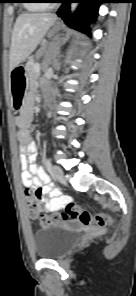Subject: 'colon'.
I'll return each instance as SVG.
<instances>
[{
  "mask_svg": "<svg viewBox=\"0 0 136 296\" xmlns=\"http://www.w3.org/2000/svg\"><path fill=\"white\" fill-rule=\"evenodd\" d=\"M26 206L31 216L43 226L55 225L69 218L77 220L83 225H95L100 228H108L112 226V218L109 215L92 214L82 205L73 202H69L62 213H54L49 216H44L40 213L41 194L39 191L28 195Z\"/></svg>",
  "mask_w": 136,
  "mask_h": 296,
  "instance_id": "5ec220e1",
  "label": "colon"
}]
</instances>
